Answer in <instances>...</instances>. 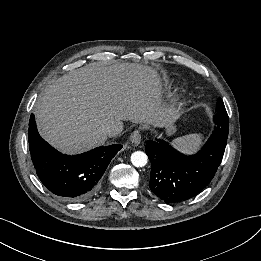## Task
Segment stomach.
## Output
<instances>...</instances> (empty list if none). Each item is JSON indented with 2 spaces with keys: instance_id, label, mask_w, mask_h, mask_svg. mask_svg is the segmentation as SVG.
<instances>
[{
  "instance_id": "obj_1",
  "label": "stomach",
  "mask_w": 261,
  "mask_h": 261,
  "mask_svg": "<svg viewBox=\"0 0 261 261\" xmlns=\"http://www.w3.org/2000/svg\"><path fill=\"white\" fill-rule=\"evenodd\" d=\"M178 118H179V116H177L176 119H178ZM176 119L172 120L171 122H169L168 124L165 125L166 134L169 136L173 135L177 130L176 125H175Z\"/></svg>"
}]
</instances>
